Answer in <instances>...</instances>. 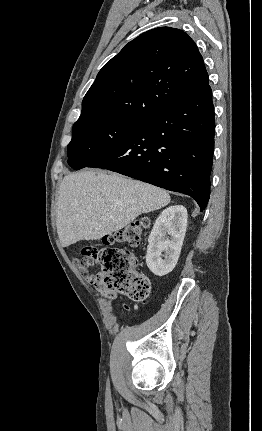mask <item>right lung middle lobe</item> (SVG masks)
Returning a JSON list of instances; mask_svg holds the SVG:
<instances>
[{
  "instance_id": "right-lung-middle-lobe-1",
  "label": "right lung middle lobe",
  "mask_w": 262,
  "mask_h": 431,
  "mask_svg": "<svg viewBox=\"0 0 262 431\" xmlns=\"http://www.w3.org/2000/svg\"><path fill=\"white\" fill-rule=\"evenodd\" d=\"M142 119L89 121L73 126L67 163L75 170L88 167L112 150L139 125Z\"/></svg>"
}]
</instances>
